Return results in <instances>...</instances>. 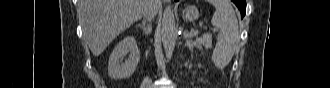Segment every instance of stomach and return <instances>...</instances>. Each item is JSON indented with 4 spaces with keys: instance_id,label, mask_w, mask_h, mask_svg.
I'll return each instance as SVG.
<instances>
[{
    "instance_id": "obj_1",
    "label": "stomach",
    "mask_w": 330,
    "mask_h": 88,
    "mask_svg": "<svg viewBox=\"0 0 330 88\" xmlns=\"http://www.w3.org/2000/svg\"><path fill=\"white\" fill-rule=\"evenodd\" d=\"M182 17L186 21H195L199 17L198 9L195 6L190 5L182 11Z\"/></svg>"
}]
</instances>
